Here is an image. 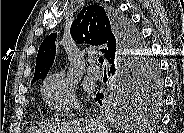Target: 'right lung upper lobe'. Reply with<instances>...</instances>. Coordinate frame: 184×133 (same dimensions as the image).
Listing matches in <instances>:
<instances>
[{"instance_id":"right-lung-upper-lobe-1","label":"right lung upper lobe","mask_w":184,"mask_h":133,"mask_svg":"<svg viewBox=\"0 0 184 133\" xmlns=\"http://www.w3.org/2000/svg\"><path fill=\"white\" fill-rule=\"evenodd\" d=\"M71 36L77 44L107 45L101 50L110 61L118 51V36L113 27L111 15L104 7L89 5L83 7L71 25ZM56 33L46 37L39 47L35 74L32 81L43 79L52 66L56 54Z\"/></svg>"}]
</instances>
